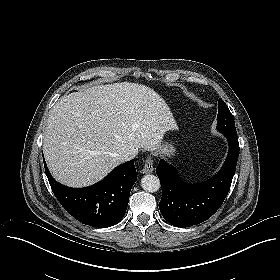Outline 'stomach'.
<instances>
[{
  "mask_svg": "<svg viewBox=\"0 0 280 280\" xmlns=\"http://www.w3.org/2000/svg\"><path fill=\"white\" fill-rule=\"evenodd\" d=\"M155 153L170 158L175 155V148L172 144H169L168 142H163L161 143V149Z\"/></svg>",
  "mask_w": 280,
  "mask_h": 280,
  "instance_id": "stomach-1",
  "label": "stomach"
}]
</instances>
